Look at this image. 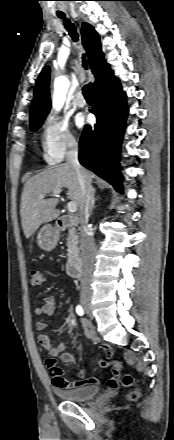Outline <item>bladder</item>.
<instances>
[{"label": "bladder", "instance_id": "bladder-1", "mask_svg": "<svg viewBox=\"0 0 174 440\" xmlns=\"http://www.w3.org/2000/svg\"><path fill=\"white\" fill-rule=\"evenodd\" d=\"M98 386H81L71 390H58L57 394L66 401H86L98 395Z\"/></svg>", "mask_w": 174, "mask_h": 440}]
</instances>
